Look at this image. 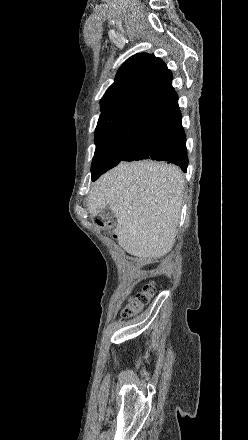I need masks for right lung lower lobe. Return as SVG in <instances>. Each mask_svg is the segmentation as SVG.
<instances>
[{
    "instance_id": "1",
    "label": "right lung lower lobe",
    "mask_w": 248,
    "mask_h": 440,
    "mask_svg": "<svg viewBox=\"0 0 248 440\" xmlns=\"http://www.w3.org/2000/svg\"><path fill=\"white\" fill-rule=\"evenodd\" d=\"M167 161L187 171L186 136L178 101L146 118L131 130L121 161Z\"/></svg>"
}]
</instances>
